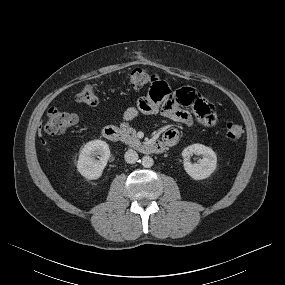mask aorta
Masks as SVG:
<instances>
[{
    "mask_svg": "<svg viewBox=\"0 0 285 285\" xmlns=\"http://www.w3.org/2000/svg\"><path fill=\"white\" fill-rule=\"evenodd\" d=\"M153 164H154V161H153V159L150 156H144L142 158V165H143V167L150 168V167L153 166Z\"/></svg>",
    "mask_w": 285,
    "mask_h": 285,
    "instance_id": "obj_1",
    "label": "aorta"
}]
</instances>
